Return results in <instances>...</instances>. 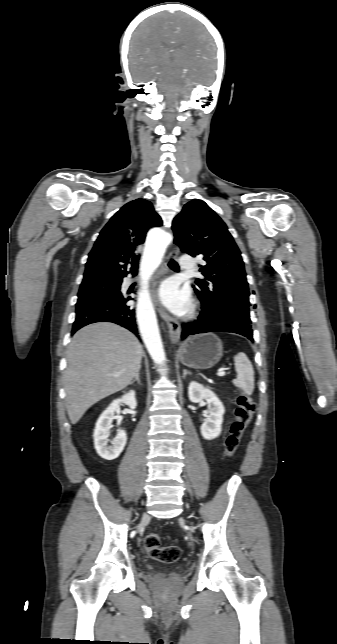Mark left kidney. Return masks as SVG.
Returning a JSON list of instances; mask_svg holds the SVG:
<instances>
[{"label": "left kidney", "instance_id": "5707ae66", "mask_svg": "<svg viewBox=\"0 0 337 644\" xmlns=\"http://www.w3.org/2000/svg\"><path fill=\"white\" fill-rule=\"evenodd\" d=\"M188 396L191 402L198 403L206 400L209 415L201 425L200 430L204 439L212 440L217 438L222 431L223 415L225 408L216 394L209 388L192 381L188 387Z\"/></svg>", "mask_w": 337, "mask_h": 644}]
</instances>
